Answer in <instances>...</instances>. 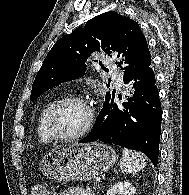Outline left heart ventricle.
<instances>
[{
  "instance_id": "1",
  "label": "left heart ventricle",
  "mask_w": 189,
  "mask_h": 195,
  "mask_svg": "<svg viewBox=\"0 0 189 195\" xmlns=\"http://www.w3.org/2000/svg\"><path fill=\"white\" fill-rule=\"evenodd\" d=\"M88 120L87 109L79 104L63 107L54 119L56 131L61 135H73L80 132Z\"/></svg>"
}]
</instances>
